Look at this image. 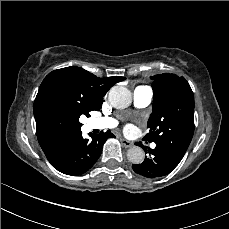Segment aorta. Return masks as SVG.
Returning <instances> with one entry per match:
<instances>
[{
  "label": "aorta",
  "instance_id": "aorta-1",
  "mask_svg": "<svg viewBox=\"0 0 229 229\" xmlns=\"http://www.w3.org/2000/svg\"><path fill=\"white\" fill-rule=\"evenodd\" d=\"M109 103L116 109L127 108L132 102L130 90L123 86H114L108 95ZM127 158L133 164H141L145 158L144 150L139 146H133L127 151Z\"/></svg>",
  "mask_w": 229,
  "mask_h": 229
}]
</instances>
